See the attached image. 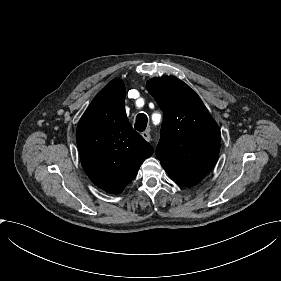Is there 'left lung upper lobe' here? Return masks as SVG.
I'll return each instance as SVG.
<instances>
[{"instance_id":"1","label":"left lung upper lobe","mask_w":281,"mask_h":281,"mask_svg":"<svg viewBox=\"0 0 281 281\" xmlns=\"http://www.w3.org/2000/svg\"><path fill=\"white\" fill-rule=\"evenodd\" d=\"M147 89L163 111L156 148L162 166L188 174H207L218 160L221 137L200 97L172 76L150 79Z\"/></svg>"}]
</instances>
